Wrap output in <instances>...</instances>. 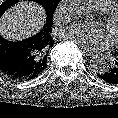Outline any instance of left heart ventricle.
Segmentation results:
<instances>
[{"mask_svg": "<svg viewBox=\"0 0 118 118\" xmlns=\"http://www.w3.org/2000/svg\"><path fill=\"white\" fill-rule=\"evenodd\" d=\"M109 31L112 34L113 39L118 36V23L113 26H109Z\"/></svg>", "mask_w": 118, "mask_h": 118, "instance_id": "left-heart-ventricle-1", "label": "left heart ventricle"}]
</instances>
